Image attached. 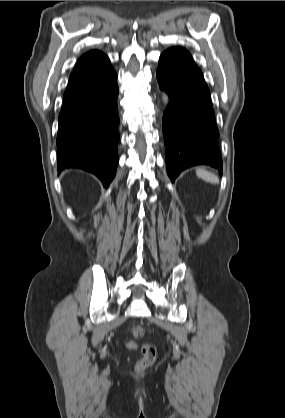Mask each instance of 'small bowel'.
Returning a JSON list of instances; mask_svg holds the SVG:
<instances>
[{
  "mask_svg": "<svg viewBox=\"0 0 285 418\" xmlns=\"http://www.w3.org/2000/svg\"><path fill=\"white\" fill-rule=\"evenodd\" d=\"M128 348L135 350V349H137V344L134 343V342H129L128 343Z\"/></svg>",
  "mask_w": 285,
  "mask_h": 418,
  "instance_id": "1",
  "label": "small bowel"
}]
</instances>
